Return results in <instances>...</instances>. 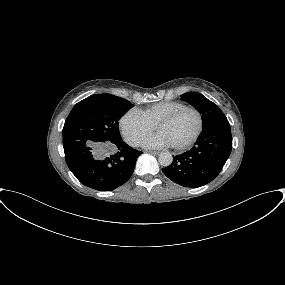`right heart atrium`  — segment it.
Returning <instances> with one entry per match:
<instances>
[{
	"instance_id": "obj_1",
	"label": "right heart atrium",
	"mask_w": 285,
	"mask_h": 285,
	"mask_svg": "<svg viewBox=\"0 0 285 285\" xmlns=\"http://www.w3.org/2000/svg\"><path fill=\"white\" fill-rule=\"evenodd\" d=\"M120 129L130 145L138 146L152 133L150 125L137 110H128L120 119Z\"/></svg>"
}]
</instances>
